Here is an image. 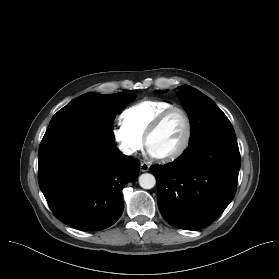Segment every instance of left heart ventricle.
Returning <instances> with one entry per match:
<instances>
[{"label":"left heart ventricle","instance_id":"1","mask_svg":"<svg viewBox=\"0 0 279 279\" xmlns=\"http://www.w3.org/2000/svg\"><path fill=\"white\" fill-rule=\"evenodd\" d=\"M186 132L184 117L179 112L171 113L149 140V149L155 155L175 150L183 141Z\"/></svg>","mask_w":279,"mask_h":279}]
</instances>
